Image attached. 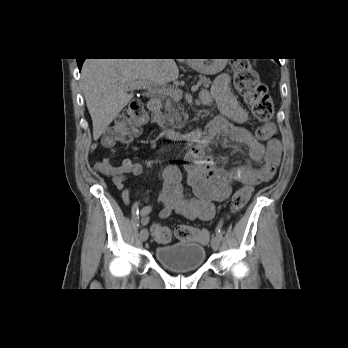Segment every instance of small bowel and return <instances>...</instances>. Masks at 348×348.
Wrapping results in <instances>:
<instances>
[{
    "mask_svg": "<svg viewBox=\"0 0 348 348\" xmlns=\"http://www.w3.org/2000/svg\"><path fill=\"white\" fill-rule=\"evenodd\" d=\"M200 99L204 105H211L215 101L222 113L208 125L212 135H222L228 141L244 146L248 161L237 168L227 169L217 166L214 158L203 147H191L187 154L189 163L184 170L196 198H187L183 194V171L175 165L166 167L158 198L161 206L159 217L162 219L177 212L190 220L209 221L215 215V203L227 200L235 184L252 186L268 181L275 174L280 162L281 143L278 139H271L263 145L241 126L247 121L248 114L232 93L228 74L218 76L212 90H202ZM95 169L111 179L121 192L123 202L130 205L131 193L125 183L129 176L142 175V165L124 158L119 166L103 160L95 165ZM141 197L143 205L141 201H136L131 208L134 216L143 225H149L152 205L144 194L141 193Z\"/></svg>",
    "mask_w": 348,
    "mask_h": 348,
    "instance_id": "c3829d8e",
    "label": "small bowel"
}]
</instances>
